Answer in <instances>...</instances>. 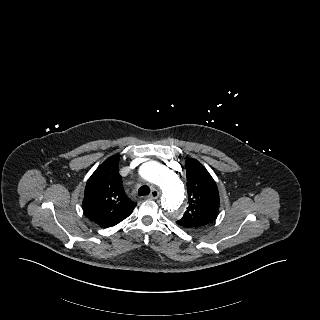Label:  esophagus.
Here are the masks:
<instances>
[{"instance_id":"esophagus-1","label":"esophagus","mask_w":320,"mask_h":320,"mask_svg":"<svg viewBox=\"0 0 320 320\" xmlns=\"http://www.w3.org/2000/svg\"><path fill=\"white\" fill-rule=\"evenodd\" d=\"M159 195H160L159 191L156 190V189H153V190H151V192H150V194H149L148 197H149L150 199H156V198L159 197Z\"/></svg>"}]
</instances>
